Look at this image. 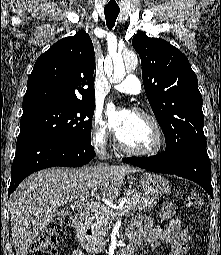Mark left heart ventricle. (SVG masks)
<instances>
[{"mask_svg":"<svg viewBox=\"0 0 221 255\" xmlns=\"http://www.w3.org/2000/svg\"><path fill=\"white\" fill-rule=\"evenodd\" d=\"M126 126L117 134L120 141L127 147L134 149H148L155 144L154 128L143 117L130 113Z\"/></svg>","mask_w":221,"mask_h":255,"instance_id":"b2bd125f","label":"left heart ventricle"}]
</instances>
